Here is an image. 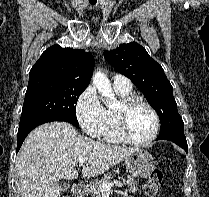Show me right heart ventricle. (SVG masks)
I'll return each mask as SVG.
<instances>
[{"label":"right heart ventricle","instance_id":"obj_1","mask_svg":"<svg viewBox=\"0 0 209 197\" xmlns=\"http://www.w3.org/2000/svg\"><path fill=\"white\" fill-rule=\"evenodd\" d=\"M115 91L118 94V96L123 100L129 98L132 95L131 89L130 90L115 89ZM100 136L105 141L111 143H119L123 141L117 127L116 110L106 109V121Z\"/></svg>","mask_w":209,"mask_h":197}]
</instances>
